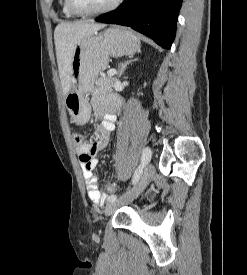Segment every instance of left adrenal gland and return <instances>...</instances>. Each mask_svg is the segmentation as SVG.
Listing matches in <instances>:
<instances>
[{"label":"left adrenal gland","instance_id":"left-adrenal-gland-1","mask_svg":"<svg viewBox=\"0 0 247 275\" xmlns=\"http://www.w3.org/2000/svg\"><path fill=\"white\" fill-rule=\"evenodd\" d=\"M137 61V59H134V60H129V61H126L125 63H122L119 65V75H118V78L121 77V75L123 74V72L125 71V69L127 68V66L129 64H131L132 62H135Z\"/></svg>","mask_w":247,"mask_h":275}]
</instances>
